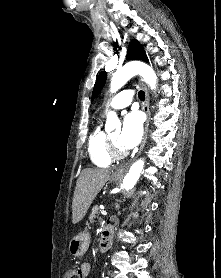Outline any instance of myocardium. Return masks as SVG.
Masks as SVG:
<instances>
[{
	"instance_id": "1",
	"label": "myocardium",
	"mask_w": 221,
	"mask_h": 278,
	"mask_svg": "<svg viewBox=\"0 0 221 278\" xmlns=\"http://www.w3.org/2000/svg\"><path fill=\"white\" fill-rule=\"evenodd\" d=\"M106 150L109 157L113 160L122 159L128 154L126 150L117 148L109 135H107Z\"/></svg>"
}]
</instances>
